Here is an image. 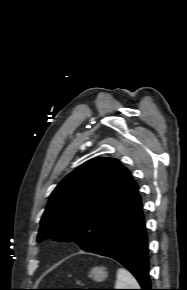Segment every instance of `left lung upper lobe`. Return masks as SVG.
<instances>
[{"label": "left lung upper lobe", "mask_w": 187, "mask_h": 290, "mask_svg": "<svg viewBox=\"0 0 187 290\" xmlns=\"http://www.w3.org/2000/svg\"><path fill=\"white\" fill-rule=\"evenodd\" d=\"M137 190L118 160L98 157L85 162L52 192L37 241H75L90 252L123 216Z\"/></svg>", "instance_id": "1"}]
</instances>
